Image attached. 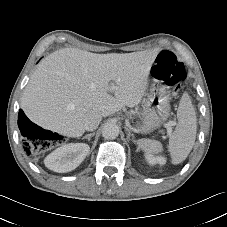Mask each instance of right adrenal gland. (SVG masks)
<instances>
[{
	"instance_id": "obj_1",
	"label": "right adrenal gland",
	"mask_w": 227,
	"mask_h": 227,
	"mask_svg": "<svg viewBox=\"0 0 227 227\" xmlns=\"http://www.w3.org/2000/svg\"><path fill=\"white\" fill-rule=\"evenodd\" d=\"M95 133H90L85 135L82 139H87L88 141H90L91 137L94 136Z\"/></svg>"
}]
</instances>
